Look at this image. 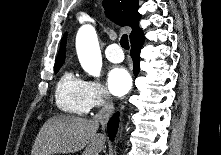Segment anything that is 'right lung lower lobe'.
<instances>
[{"label": "right lung lower lobe", "instance_id": "1", "mask_svg": "<svg viewBox=\"0 0 221 155\" xmlns=\"http://www.w3.org/2000/svg\"><path fill=\"white\" fill-rule=\"evenodd\" d=\"M131 57L133 59V73L135 76L139 73V58L142 45L144 43V36L142 31H140L131 40ZM119 123V113H116L108 122L107 130L109 138L113 141L117 132Z\"/></svg>", "mask_w": 221, "mask_h": 155}]
</instances>
